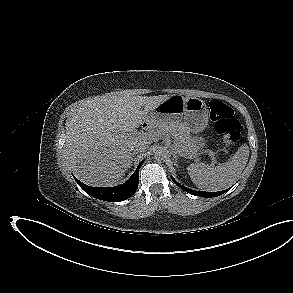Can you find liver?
<instances>
[{
    "label": "liver",
    "mask_w": 293,
    "mask_h": 293,
    "mask_svg": "<svg viewBox=\"0 0 293 293\" xmlns=\"http://www.w3.org/2000/svg\"><path fill=\"white\" fill-rule=\"evenodd\" d=\"M171 96L108 93L74 109L65 123V158L77 178L91 186L121 183L135 146L155 139L135 130L144 122L154 127L148 112Z\"/></svg>",
    "instance_id": "1"
}]
</instances>
